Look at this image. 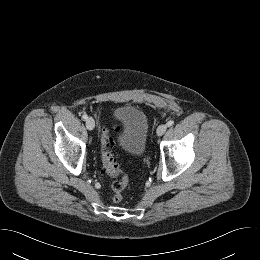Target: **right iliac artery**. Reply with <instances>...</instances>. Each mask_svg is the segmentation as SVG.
I'll return each mask as SVG.
<instances>
[{
    "mask_svg": "<svg viewBox=\"0 0 260 260\" xmlns=\"http://www.w3.org/2000/svg\"><path fill=\"white\" fill-rule=\"evenodd\" d=\"M82 118H83L84 120H87L88 116H87L86 114H83V115H82Z\"/></svg>",
    "mask_w": 260,
    "mask_h": 260,
    "instance_id": "obj_1",
    "label": "right iliac artery"
}]
</instances>
